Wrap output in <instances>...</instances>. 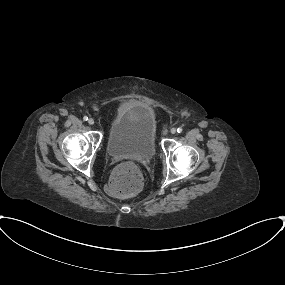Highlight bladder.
Listing matches in <instances>:
<instances>
[{
	"label": "bladder",
	"instance_id": "bladder-1",
	"mask_svg": "<svg viewBox=\"0 0 285 285\" xmlns=\"http://www.w3.org/2000/svg\"><path fill=\"white\" fill-rule=\"evenodd\" d=\"M106 148L114 157H154L155 125L144 105L128 104L118 112L109 128Z\"/></svg>",
	"mask_w": 285,
	"mask_h": 285
}]
</instances>
